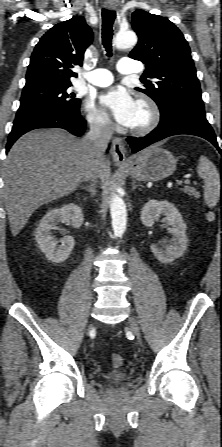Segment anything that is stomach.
Segmentation results:
<instances>
[{
    "instance_id": "1",
    "label": "stomach",
    "mask_w": 222,
    "mask_h": 447,
    "mask_svg": "<svg viewBox=\"0 0 222 447\" xmlns=\"http://www.w3.org/2000/svg\"><path fill=\"white\" fill-rule=\"evenodd\" d=\"M176 164L170 151L155 145L129 157L121 168L135 180L158 181L172 175Z\"/></svg>"
}]
</instances>
